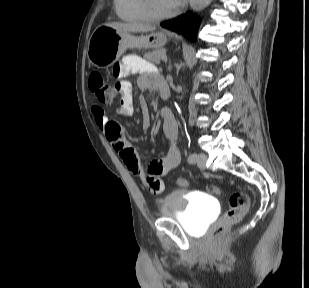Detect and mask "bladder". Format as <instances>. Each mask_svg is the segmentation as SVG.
<instances>
[{
	"instance_id": "1",
	"label": "bladder",
	"mask_w": 309,
	"mask_h": 288,
	"mask_svg": "<svg viewBox=\"0 0 309 288\" xmlns=\"http://www.w3.org/2000/svg\"><path fill=\"white\" fill-rule=\"evenodd\" d=\"M216 211L217 203L212 197L184 190L168 193L160 203L162 217L175 218L184 229L194 233L204 231Z\"/></svg>"
}]
</instances>
